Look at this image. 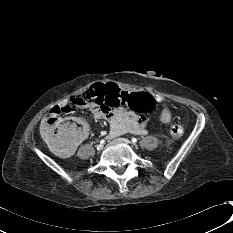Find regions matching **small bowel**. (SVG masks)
Listing matches in <instances>:
<instances>
[{
	"mask_svg": "<svg viewBox=\"0 0 233 233\" xmlns=\"http://www.w3.org/2000/svg\"><path fill=\"white\" fill-rule=\"evenodd\" d=\"M150 94L155 98L156 102L164 101L163 96L152 93ZM68 105H71L76 109L89 110L93 113L96 119L107 120L110 124L112 136H119L126 133L139 136H145L148 134L146 119L138 115L136 113L137 111L130 110L127 107L121 106L114 108L113 106H104L103 104L94 105L93 102L82 97L71 98ZM74 149L75 146L73 147L72 152Z\"/></svg>",
	"mask_w": 233,
	"mask_h": 233,
	"instance_id": "1",
	"label": "small bowel"
}]
</instances>
